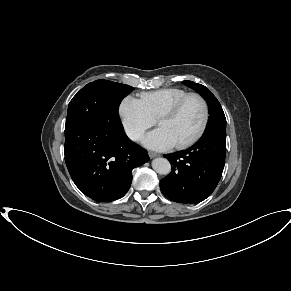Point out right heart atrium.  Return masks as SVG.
<instances>
[{"label": "right heart atrium", "mask_w": 291, "mask_h": 291, "mask_svg": "<svg viewBox=\"0 0 291 291\" xmlns=\"http://www.w3.org/2000/svg\"><path fill=\"white\" fill-rule=\"evenodd\" d=\"M119 116L125 133L133 141L140 140L154 124V119L148 114L142 101L132 95H127L121 101Z\"/></svg>", "instance_id": "right-heart-atrium-1"}]
</instances>
